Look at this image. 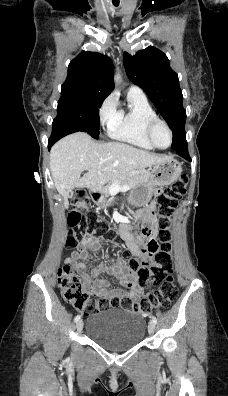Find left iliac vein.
Returning a JSON list of instances; mask_svg holds the SVG:
<instances>
[{
	"label": "left iliac vein",
	"mask_w": 228,
	"mask_h": 396,
	"mask_svg": "<svg viewBox=\"0 0 228 396\" xmlns=\"http://www.w3.org/2000/svg\"><path fill=\"white\" fill-rule=\"evenodd\" d=\"M156 329V324L153 321H150L148 324V332L150 335H153L155 333Z\"/></svg>",
	"instance_id": "4c4485c4"
}]
</instances>
